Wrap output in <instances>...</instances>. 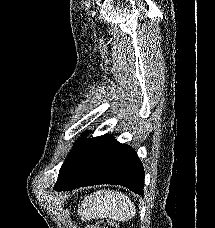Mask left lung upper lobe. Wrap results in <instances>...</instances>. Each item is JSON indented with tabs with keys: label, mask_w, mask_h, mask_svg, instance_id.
Segmentation results:
<instances>
[{
	"label": "left lung upper lobe",
	"mask_w": 215,
	"mask_h": 228,
	"mask_svg": "<svg viewBox=\"0 0 215 228\" xmlns=\"http://www.w3.org/2000/svg\"><path fill=\"white\" fill-rule=\"evenodd\" d=\"M87 133L88 132H85V134H84V137H85V135H87ZM84 141V139H80V140H78L77 142H76V144H75V146L73 147V149H72V152L70 153V155H69V157L71 156V154L77 149V147L82 143ZM68 157V158H69ZM66 162V161H65ZM64 162V163H65ZM64 165V164H63ZM62 165V166H63ZM62 168V167H61Z\"/></svg>",
	"instance_id": "5c2ea615"
}]
</instances>
